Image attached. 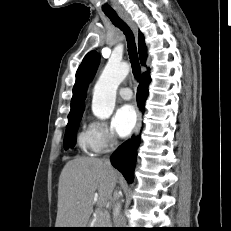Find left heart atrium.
<instances>
[{
	"mask_svg": "<svg viewBox=\"0 0 231 231\" xmlns=\"http://www.w3.org/2000/svg\"><path fill=\"white\" fill-rule=\"evenodd\" d=\"M137 121V114L134 107L130 104H124L118 108L113 117V127L121 137L128 136Z\"/></svg>",
	"mask_w": 231,
	"mask_h": 231,
	"instance_id": "39dd6f15",
	"label": "left heart atrium"
}]
</instances>
